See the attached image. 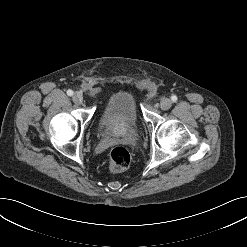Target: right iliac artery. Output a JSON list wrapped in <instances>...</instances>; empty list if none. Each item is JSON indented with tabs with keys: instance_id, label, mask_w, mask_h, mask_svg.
I'll use <instances>...</instances> for the list:
<instances>
[{
	"instance_id": "82829eb1",
	"label": "right iliac artery",
	"mask_w": 247,
	"mask_h": 247,
	"mask_svg": "<svg viewBox=\"0 0 247 247\" xmlns=\"http://www.w3.org/2000/svg\"><path fill=\"white\" fill-rule=\"evenodd\" d=\"M67 95L72 96V95H73V91L69 89V90L67 91Z\"/></svg>"
}]
</instances>
